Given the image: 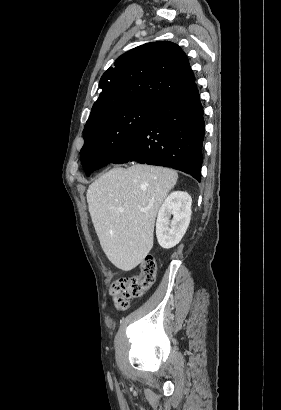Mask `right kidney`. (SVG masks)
<instances>
[{
	"mask_svg": "<svg viewBox=\"0 0 281 410\" xmlns=\"http://www.w3.org/2000/svg\"><path fill=\"white\" fill-rule=\"evenodd\" d=\"M191 205V196L183 191H174L165 199L156 221V237L162 248L169 249L180 242L190 223Z\"/></svg>",
	"mask_w": 281,
	"mask_h": 410,
	"instance_id": "1",
	"label": "right kidney"
}]
</instances>
